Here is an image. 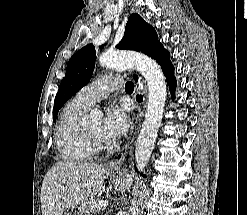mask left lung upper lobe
<instances>
[{
	"instance_id": "1",
	"label": "left lung upper lobe",
	"mask_w": 247,
	"mask_h": 215,
	"mask_svg": "<svg viewBox=\"0 0 247 215\" xmlns=\"http://www.w3.org/2000/svg\"><path fill=\"white\" fill-rule=\"evenodd\" d=\"M160 46L155 29L138 14H132L117 48L142 52L151 57ZM95 59V48L92 44L84 46L70 58L65 77L55 97L53 121L64 103L90 81Z\"/></svg>"
}]
</instances>
